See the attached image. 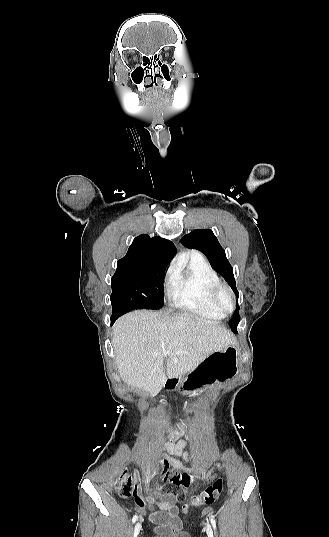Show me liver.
<instances>
[{
  "mask_svg": "<svg viewBox=\"0 0 329 537\" xmlns=\"http://www.w3.org/2000/svg\"><path fill=\"white\" fill-rule=\"evenodd\" d=\"M112 329L120 377L150 397L162 390L167 378L190 373L211 353L236 344L233 333L216 321L189 313L134 311Z\"/></svg>",
  "mask_w": 329,
  "mask_h": 537,
  "instance_id": "liver-1",
  "label": "liver"
}]
</instances>
